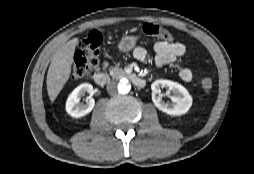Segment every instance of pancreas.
Returning a JSON list of instances; mask_svg holds the SVG:
<instances>
[{
  "label": "pancreas",
  "instance_id": "1",
  "mask_svg": "<svg viewBox=\"0 0 254 174\" xmlns=\"http://www.w3.org/2000/svg\"><path fill=\"white\" fill-rule=\"evenodd\" d=\"M124 74H125V72L121 68H112L110 70V76L112 78H118V77L123 76Z\"/></svg>",
  "mask_w": 254,
  "mask_h": 174
}]
</instances>
